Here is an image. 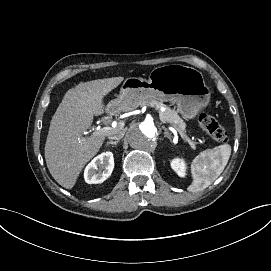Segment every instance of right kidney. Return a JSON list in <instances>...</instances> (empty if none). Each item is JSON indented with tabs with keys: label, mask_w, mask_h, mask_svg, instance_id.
I'll use <instances>...</instances> for the list:
<instances>
[{
	"label": "right kidney",
	"mask_w": 271,
	"mask_h": 271,
	"mask_svg": "<svg viewBox=\"0 0 271 271\" xmlns=\"http://www.w3.org/2000/svg\"><path fill=\"white\" fill-rule=\"evenodd\" d=\"M114 159L112 152H104L94 158L84 172L85 181L88 184L102 183L112 173Z\"/></svg>",
	"instance_id": "right-kidney-1"
}]
</instances>
